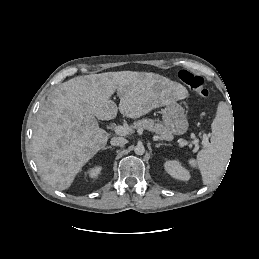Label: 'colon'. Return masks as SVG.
<instances>
[{
    "mask_svg": "<svg viewBox=\"0 0 259 259\" xmlns=\"http://www.w3.org/2000/svg\"><path fill=\"white\" fill-rule=\"evenodd\" d=\"M179 79L192 91L200 97L205 98L208 96V90L204 85V79L186 69L178 72Z\"/></svg>",
    "mask_w": 259,
    "mask_h": 259,
    "instance_id": "5ec220e1",
    "label": "colon"
}]
</instances>
